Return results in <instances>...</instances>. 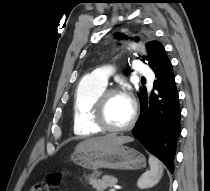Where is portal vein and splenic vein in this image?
Masks as SVG:
<instances>
[{
  "mask_svg": "<svg viewBox=\"0 0 210 191\" xmlns=\"http://www.w3.org/2000/svg\"><path fill=\"white\" fill-rule=\"evenodd\" d=\"M109 191H116V189L113 187V188H111Z\"/></svg>",
  "mask_w": 210,
  "mask_h": 191,
  "instance_id": "18ae733b",
  "label": "portal vein and splenic vein"
}]
</instances>
